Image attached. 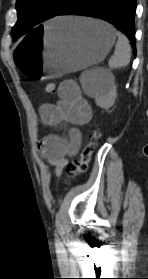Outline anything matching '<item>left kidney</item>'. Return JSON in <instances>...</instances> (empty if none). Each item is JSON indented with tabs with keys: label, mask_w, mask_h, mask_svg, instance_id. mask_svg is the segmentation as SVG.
Instances as JSON below:
<instances>
[{
	"label": "left kidney",
	"mask_w": 148,
	"mask_h": 279,
	"mask_svg": "<svg viewBox=\"0 0 148 279\" xmlns=\"http://www.w3.org/2000/svg\"><path fill=\"white\" fill-rule=\"evenodd\" d=\"M117 98V88L113 83L107 84V90L102 95L95 97V103L102 109L108 110Z\"/></svg>",
	"instance_id": "obj_1"
}]
</instances>
